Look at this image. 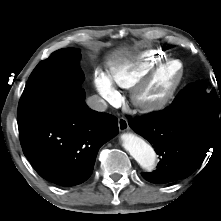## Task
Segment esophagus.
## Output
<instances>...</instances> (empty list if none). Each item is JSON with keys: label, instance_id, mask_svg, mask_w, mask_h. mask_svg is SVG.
<instances>
[{"label": "esophagus", "instance_id": "obj_1", "mask_svg": "<svg viewBox=\"0 0 221 221\" xmlns=\"http://www.w3.org/2000/svg\"><path fill=\"white\" fill-rule=\"evenodd\" d=\"M118 127L121 132L127 131L129 129L128 121L124 117L119 118Z\"/></svg>", "mask_w": 221, "mask_h": 221}]
</instances>
